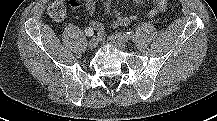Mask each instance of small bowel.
Returning <instances> with one entry per match:
<instances>
[{
  "instance_id": "c3829d8e",
  "label": "small bowel",
  "mask_w": 217,
  "mask_h": 121,
  "mask_svg": "<svg viewBox=\"0 0 217 121\" xmlns=\"http://www.w3.org/2000/svg\"><path fill=\"white\" fill-rule=\"evenodd\" d=\"M133 1L139 2L141 0ZM69 2L72 7L77 6V0H69ZM97 2L98 0H85V8L90 15H93L95 13ZM153 2L154 7H152L148 12V15L150 17H154L159 12L164 11L167 6V0H153ZM103 9L105 14L114 12L115 16L112 22V27L114 28L127 26L132 20H135L137 18L136 16H126L119 11H115L112 0H104ZM89 25L90 28L100 33L102 38H104L103 24L100 21L92 20Z\"/></svg>"
}]
</instances>
